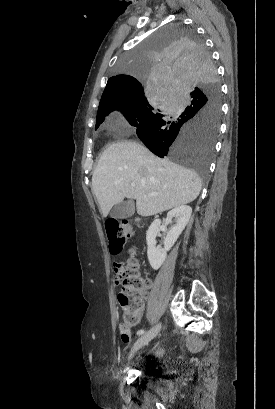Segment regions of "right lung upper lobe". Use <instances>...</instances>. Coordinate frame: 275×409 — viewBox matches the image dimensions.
<instances>
[{
  "label": "right lung upper lobe",
  "mask_w": 275,
  "mask_h": 409,
  "mask_svg": "<svg viewBox=\"0 0 275 409\" xmlns=\"http://www.w3.org/2000/svg\"><path fill=\"white\" fill-rule=\"evenodd\" d=\"M134 96H144L143 86L137 79H133L129 75L111 77L102 94L98 112L111 107L121 100L133 98Z\"/></svg>",
  "instance_id": "1"
}]
</instances>
